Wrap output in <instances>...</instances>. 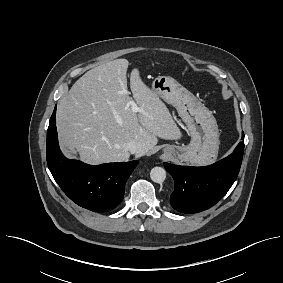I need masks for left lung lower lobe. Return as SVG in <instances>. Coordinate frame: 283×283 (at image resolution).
Listing matches in <instances>:
<instances>
[{
    "instance_id": "1",
    "label": "left lung lower lobe",
    "mask_w": 283,
    "mask_h": 283,
    "mask_svg": "<svg viewBox=\"0 0 283 283\" xmlns=\"http://www.w3.org/2000/svg\"><path fill=\"white\" fill-rule=\"evenodd\" d=\"M243 152L244 142H240L231 155L210 166L189 167L164 163L175 182L170 197L172 207L179 212L192 214L215 205L236 180Z\"/></svg>"
}]
</instances>
